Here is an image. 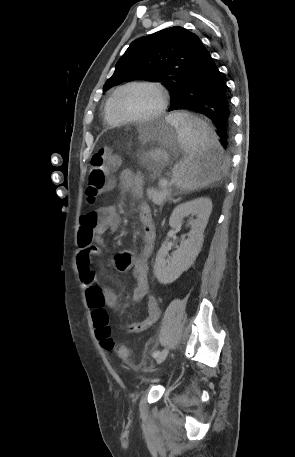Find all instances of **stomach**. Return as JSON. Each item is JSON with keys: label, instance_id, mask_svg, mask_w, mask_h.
I'll list each match as a JSON object with an SVG mask.
<instances>
[{"label": "stomach", "instance_id": "1", "mask_svg": "<svg viewBox=\"0 0 295 457\" xmlns=\"http://www.w3.org/2000/svg\"><path fill=\"white\" fill-rule=\"evenodd\" d=\"M141 144L148 149L140 155V161L154 174L169 163L171 152L180 145L177 129L167 119L157 120L144 130Z\"/></svg>", "mask_w": 295, "mask_h": 457}]
</instances>
